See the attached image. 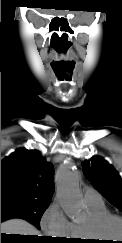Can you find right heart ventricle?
Here are the masks:
<instances>
[{
  "mask_svg": "<svg viewBox=\"0 0 122 243\" xmlns=\"http://www.w3.org/2000/svg\"><path fill=\"white\" fill-rule=\"evenodd\" d=\"M91 215V218L102 216L105 214H108L109 211L106 208L105 204L103 202L98 203H86ZM85 224H78V223H72V232L71 237H73L75 240H87V239H93L91 238L86 230Z\"/></svg>",
  "mask_w": 122,
  "mask_h": 243,
  "instance_id": "obj_1",
  "label": "right heart ventricle"
}]
</instances>
